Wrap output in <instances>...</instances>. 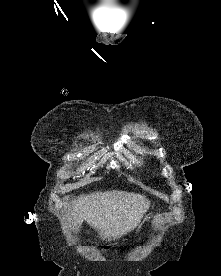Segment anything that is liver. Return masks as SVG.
<instances>
[{"mask_svg": "<svg viewBox=\"0 0 221 276\" xmlns=\"http://www.w3.org/2000/svg\"><path fill=\"white\" fill-rule=\"evenodd\" d=\"M70 220L79 228L85 220L103 240L119 239L133 231L150 207L144 195L123 191L81 195L69 205Z\"/></svg>", "mask_w": 221, "mask_h": 276, "instance_id": "liver-1", "label": "liver"}]
</instances>
